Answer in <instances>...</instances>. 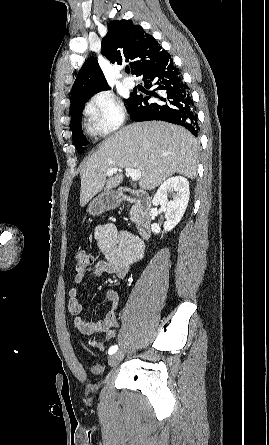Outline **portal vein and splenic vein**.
Instances as JSON below:
<instances>
[{
	"instance_id": "18ae733b",
	"label": "portal vein and splenic vein",
	"mask_w": 269,
	"mask_h": 445,
	"mask_svg": "<svg viewBox=\"0 0 269 445\" xmlns=\"http://www.w3.org/2000/svg\"><path fill=\"white\" fill-rule=\"evenodd\" d=\"M121 170H122V168H119V167L111 168L107 171V176H112L113 174H115ZM124 170H125L126 174L128 176H130L133 181H138L141 177V172L138 169L125 168Z\"/></svg>"
}]
</instances>
